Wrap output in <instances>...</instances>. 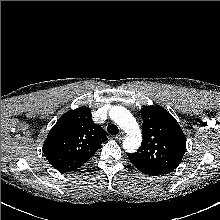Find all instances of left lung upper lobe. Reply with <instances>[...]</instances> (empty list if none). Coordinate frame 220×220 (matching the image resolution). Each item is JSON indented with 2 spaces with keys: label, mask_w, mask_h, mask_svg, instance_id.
Masks as SVG:
<instances>
[{
  "label": "left lung upper lobe",
  "mask_w": 220,
  "mask_h": 220,
  "mask_svg": "<svg viewBox=\"0 0 220 220\" xmlns=\"http://www.w3.org/2000/svg\"><path fill=\"white\" fill-rule=\"evenodd\" d=\"M143 140L140 149L129 157L160 174L173 171L186 152V137L175 118L160 106L140 110Z\"/></svg>",
  "instance_id": "left-lung-upper-lobe-1"
}]
</instances>
